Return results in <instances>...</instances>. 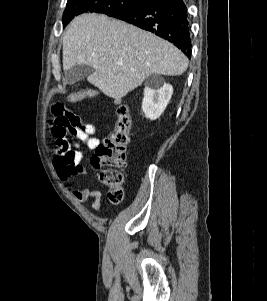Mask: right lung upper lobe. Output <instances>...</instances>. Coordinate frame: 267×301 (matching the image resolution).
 I'll return each mask as SVG.
<instances>
[{
	"label": "right lung upper lobe",
	"instance_id": "right-lung-upper-lobe-1",
	"mask_svg": "<svg viewBox=\"0 0 267 301\" xmlns=\"http://www.w3.org/2000/svg\"><path fill=\"white\" fill-rule=\"evenodd\" d=\"M143 1L146 3V2H148V1H150V0H143Z\"/></svg>",
	"mask_w": 267,
	"mask_h": 301
}]
</instances>
